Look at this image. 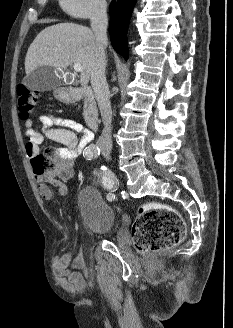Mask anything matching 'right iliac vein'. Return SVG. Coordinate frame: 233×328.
Returning a JSON list of instances; mask_svg holds the SVG:
<instances>
[{
    "instance_id": "1",
    "label": "right iliac vein",
    "mask_w": 233,
    "mask_h": 328,
    "mask_svg": "<svg viewBox=\"0 0 233 328\" xmlns=\"http://www.w3.org/2000/svg\"><path fill=\"white\" fill-rule=\"evenodd\" d=\"M101 150H102V153L104 155H107V156L110 155V148H108V147H102Z\"/></svg>"
}]
</instances>
